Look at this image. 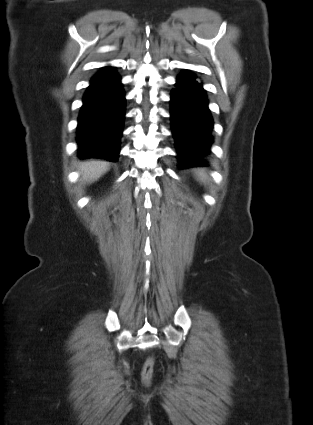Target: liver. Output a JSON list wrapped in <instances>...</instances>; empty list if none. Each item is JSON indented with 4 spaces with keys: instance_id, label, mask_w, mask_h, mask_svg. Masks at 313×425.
Here are the masks:
<instances>
[{
    "instance_id": "1",
    "label": "liver",
    "mask_w": 313,
    "mask_h": 425,
    "mask_svg": "<svg viewBox=\"0 0 313 425\" xmlns=\"http://www.w3.org/2000/svg\"><path fill=\"white\" fill-rule=\"evenodd\" d=\"M109 163L105 161H85L80 164L79 171L82 179L87 182H92L99 179L104 173L109 170Z\"/></svg>"
}]
</instances>
